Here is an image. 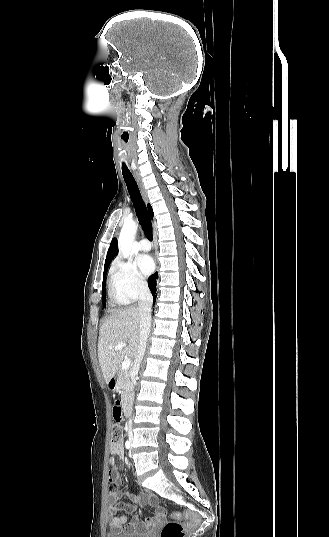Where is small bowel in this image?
Wrapping results in <instances>:
<instances>
[{"mask_svg":"<svg viewBox=\"0 0 329 537\" xmlns=\"http://www.w3.org/2000/svg\"><path fill=\"white\" fill-rule=\"evenodd\" d=\"M112 408L113 421L117 424L122 423L124 420L122 409L117 403H114ZM110 453L111 458L108 462V480L111 485L119 486L122 484V478L119 474L120 464L118 461L124 459V447L122 441L111 443ZM124 497L130 499L135 505H151L154 509L153 515L143 520L140 519L138 515H135L132 521H128L126 515L118 516L117 514L120 511L126 510L132 512L135 507L121 502V499ZM108 511L110 514V527L116 531H123L125 533H146L159 526L163 522L165 516L164 509L158 505L157 498L153 494L144 493L142 495H133L122 493L121 491L114 490L112 486L109 489Z\"/></svg>","mask_w":329,"mask_h":537,"instance_id":"small-bowel-1","label":"small bowel"}]
</instances>
